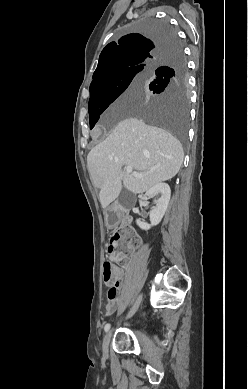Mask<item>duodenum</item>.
Returning a JSON list of instances; mask_svg holds the SVG:
<instances>
[{
	"mask_svg": "<svg viewBox=\"0 0 248 389\" xmlns=\"http://www.w3.org/2000/svg\"><path fill=\"white\" fill-rule=\"evenodd\" d=\"M120 220L123 225H129L131 222V217L125 215L120 205L111 208L105 216V221L110 227L116 226Z\"/></svg>",
	"mask_w": 248,
	"mask_h": 389,
	"instance_id": "duodenum-1",
	"label": "duodenum"
}]
</instances>
